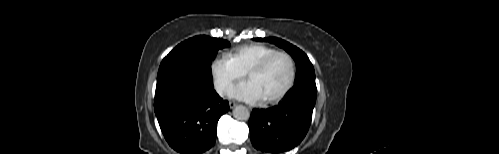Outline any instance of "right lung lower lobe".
Here are the masks:
<instances>
[{
  "instance_id": "98d812e1",
  "label": "right lung lower lobe",
  "mask_w": 499,
  "mask_h": 154,
  "mask_svg": "<svg viewBox=\"0 0 499 154\" xmlns=\"http://www.w3.org/2000/svg\"><path fill=\"white\" fill-rule=\"evenodd\" d=\"M154 109L168 144L181 154H200L216 139L217 122L229 110L213 84L175 81L156 88Z\"/></svg>"
}]
</instances>
